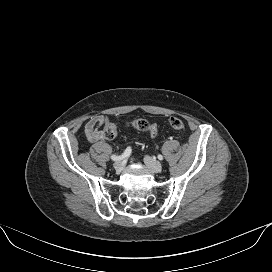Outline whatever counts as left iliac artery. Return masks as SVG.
Segmentation results:
<instances>
[{
    "mask_svg": "<svg viewBox=\"0 0 272 272\" xmlns=\"http://www.w3.org/2000/svg\"><path fill=\"white\" fill-rule=\"evenodd\" d=\"M158 159H159V160H163V156L159 154V155H158Z\"/></svg>",
    "mask_w": 272,
    "mask_h": 272,
    "instance_id": "left-iliac-artery-1",
    "label": "left iliac artery"
}]
</instances>
